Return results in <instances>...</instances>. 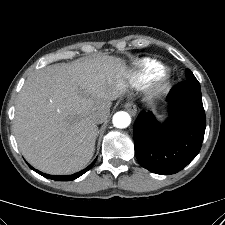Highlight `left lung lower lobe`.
I'll use <instances>...</instances> for the list:
<instances>
[{
    "mask_svg": "<svg viewBox=\"0 0 225 225\" xmlns=\"http://www.w3.org/2000/svg\"><path fill=\"white\" fill-rule=\"evenodd\" d=\"M167 101L171 118L164 124L142 111L133 129L138 162L160 175L175 174L196 157L206 128L199 83L187 80L173 87Z\"/></svg>",
    "mask_w": 225,
    "mask_h": 225,
    "instance_id": "0a47b994",
    "label": "left lung lower lobe"
}]
</instances>
